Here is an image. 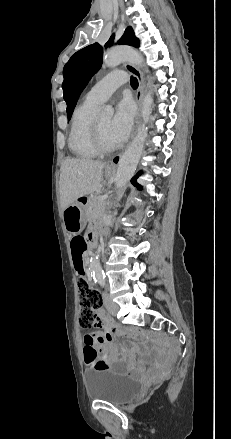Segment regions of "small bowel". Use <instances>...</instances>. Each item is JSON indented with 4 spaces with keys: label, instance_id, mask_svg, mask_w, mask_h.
Listing matches in <instances>:
<instances>
[{
    "label": "small bowel",
    "instance_id": "1",
    "mask_svg": "<svg viewBox=\"0 0 231 439\" xmlns=\"http://www.w3.org/2000/svg\"><path fill=\"white\" fill-rule=\"evenodd\" d=\"M69 209L71 208L69 207L67 210ZM92 237L93 233H90L88 235V240L90 241ZM75 239L83 240L81 237H77ZM85 249L86 246H83L81 242H79L77 246L73 241L71 242L72 256L78 266H81L82 264V255ZM95 326L102 328L103 330L87 333L83 336L82 353L86 366V354L87 352H93L94 359L92 360L89 368H96V362L102 361L107 364V367L104 369L130 371V369L135 365L134 358L128 352V350L124 348L117 349L113 344L111 323L103 309H99L96 313ZM98 354L101 355L100 359L97 358Z\"/></svg>",
    "mask_w": 231,
    "mask_h": 439
}]
</instances>
